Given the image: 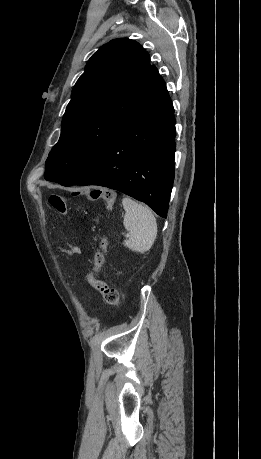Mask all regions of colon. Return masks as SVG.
I'll return each instance as SVG.
<instances>
[{"label": "colon", "mask_w": 261, "mask_h": 459, "mask_svg": "<svg viewBox=\"0 0 261 459\" xmlns=\"http://www.w3.org/2000/svg\"><path fill=\"white\" fill-rule=\"evenodd\" d=\"M73 197H88L91 200L102 199L108 207H112L115 195L112 192L103 191L99 188H73ZM49 204L60 215L66 216L68 213V199L58 194H52L49 197ZM107 242L102 240L99 249L93 257V267L87 276L89 285L101 293L104 301L109 305H119V293L115 288L110 287L98 278V274L104 264V254Z\"/></svg>", "instance_id": "5ec220e1"}]
</instances>
